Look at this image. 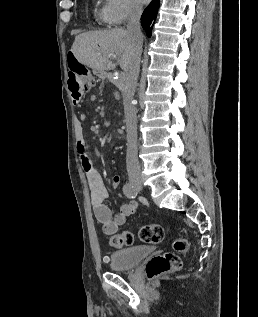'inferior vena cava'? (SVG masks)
<instances>
[{"label":"inferior vena cava","mask_w":258,"mask_h":317,"mask_svg":"<svg viewBox=\"0 0 258 317\" xmlns=\"http://www.w3.org/2000/svg\"><path fill=\"white\" fill-rule=\"evenodd\" d=\"M141 12V6H139V4H133L127 24V30L131 34L135 52L125 82L126 94H128L129 102L124 106L127 130L126 165L129 173L128 175L132 181H137L141 177L139 174L140 167L137 156V114L133 104H131L137 84V78L139 76L140 56L142 52L143 34L140 30Z\"/></svg>","instance_id":"inferior-vena-cava-1"}]
</instances>
